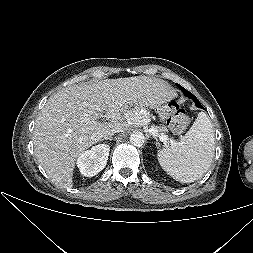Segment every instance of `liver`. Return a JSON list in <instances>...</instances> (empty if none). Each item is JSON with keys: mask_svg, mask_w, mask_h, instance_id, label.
<instances>
[{"mask_svg": "<svg viewBox=\"0 0 253 253\" xmlns=\"http://www.w3.org/2000/svg\"><path fill=\"white\" fill-rule=\"evenodd\" d=\"M176 96L167 82L146 76L66 87L50 96L36 119L37 161L56 185L71 188L76 159L106 131L143 126L149 122L146 107L155 109Z\"/></svg>", "mask_w": 253, "mask_h": 253, "instance_id": "6515ba94", "label": "liver"}]
</instances>
